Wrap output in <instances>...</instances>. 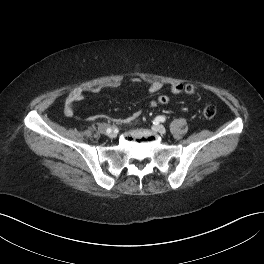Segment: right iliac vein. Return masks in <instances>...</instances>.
Instances as JSON below:
<instances>
[{"label": "right iliac vein", "mask_w": 264, "mask_h": 264, "mask_svg": "<svg viewBox=\"0 0 264 264\" xmlns=\"http://www.w3.org/2000/svg\"><path fill=\"white\" fill-rule=\"evenodd\" d=\"M108 136L110 138H114L116 136V133L115 132H110V133H108Z\"/></svg>", "instance_id": "1"}]
</instances>
